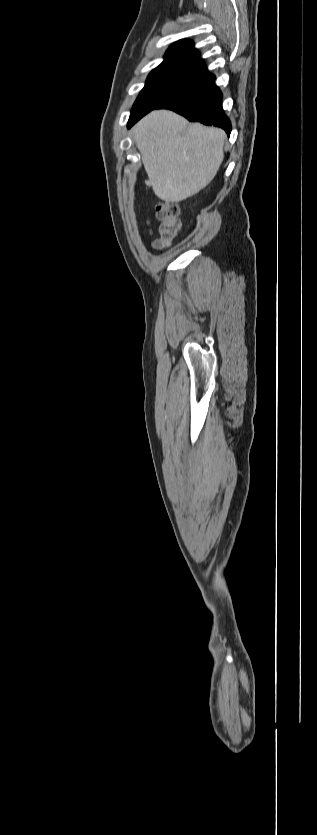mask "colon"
<instances>
[{"label":"colon","mask_w":317,"mask_h":835,"mask_svg":"<svg viewBox=\"0 0 317 835\" xmlns=\"http://www.w3.org/2000/svg\"><path fill=\"white\" fill-rule=\"evenodd\" d=\"M156 216L161 223L162 241L167 243L180 231L179 207L173 202L159 199L156 204Z\"/></svg>","instance_id":"1"}]
</instances>
